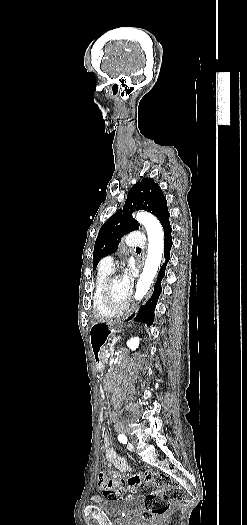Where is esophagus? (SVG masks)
<instances>
[{
	"instance_id": "34e87169",
	"label": "esophagus",
	"mask_w": 247,
	"mask_h": 525,
	"mask_svg": "<svg viewBox=\"0 0 247 525\" xmlns=\"http://www.w3.org/2000/svg\"><path fill=\"white\" fill-rule=\"evenodd\" d=\"M138 270H139V273H140V276H143V273H144V270H145V267L143 265H140L138 267ZM138 307H136V309H134V311L130 312V317H134L136 316L137 312H138Z\"/></svg>"
}]
</instances>
